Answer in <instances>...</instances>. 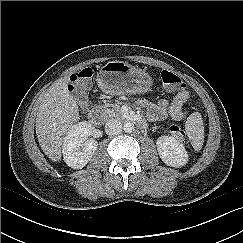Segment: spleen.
<instances>
[{
  "label": "spleen",
  "instance_id": "3e777b00",
  "mask_svg": "<svg viewBox=\"0 0 243 243\" xmlns=\"http://www.w3.org/2000/svg\"><path fill=\"white\" fill-rule=\"evenodd\" d=\"M185 129L192 146L200 150L204 142V126L202 116L198 112L192 113L186 121Z\"/></svg>",
  "mask_w": 243,
  "mask_h": 243
}]
</instances>
